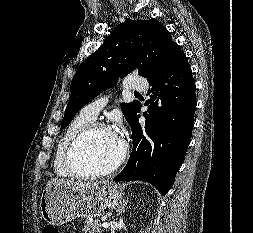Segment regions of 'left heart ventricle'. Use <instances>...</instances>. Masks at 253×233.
Instances as JSON below:
<instances>
[{"mask_svg":"<svg viewBox=\"0 0 253 233\" xmlns=\"http://www.w3.org/2000/svg\"><path fill=\"white\" fill-rule=\"evenodd\" d=\"M122 140L110 129H102L92 134L76 152L74 161L81 171L105 169L119 157Z\"/></svg>","mask_w":253,"mask_h":233,"instance_id":"obj_1","label":"left heart ventricle"}]
</instances>
